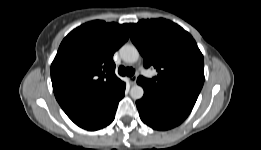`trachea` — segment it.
<instances>
[{"mask_svg": "<svg viewBox=\"0 0 261 150\" xmlns=\"http://www.w3.org/2000/svg\"><path fill=\"white\" fill-rule=\"evenodd\" d=\"M118 73L121 76H133L135 74V70L132 67H124V66H120L118 68Z\"/></svg>", "mask_w": 261, "mask_h": 150, "instance_id": "3493384b", "label": "trachea"}]
</instances>
